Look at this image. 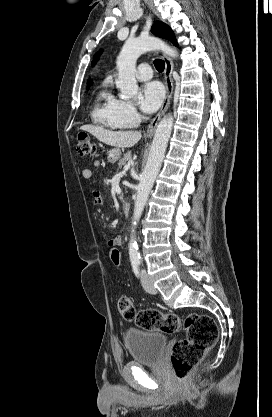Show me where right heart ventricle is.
<instances>
[{"instance_id":"1","label":"right heart ventricle","mask_w":272,"mask_h":417,"mask_svg":"<svg viewBox=\"0 0 272 417\" xmlns=\"http://www.w3.org/2000/svg\"><path fill=\"white\" fill-rule=\"evenodd\" d=\"M118 102L105 86L95 101L92 118L95 123L113 130L126 129L128 125L119 115Z\"/></svg>"}]
</instances>
